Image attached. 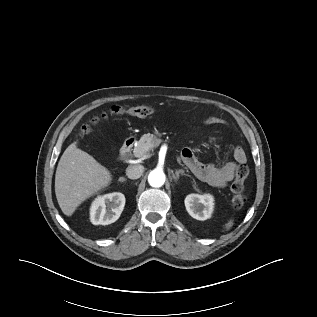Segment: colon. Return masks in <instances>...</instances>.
I'll return each instance as SVG.
<instances>
[{"label":"colon","instance_id":"colon-1","mask_svg":"<svg viewBox=\"0 0 317 317\" xmlns=\"http://www.w3.org/2000/svg\"><path fill=\"white\" fill-rule=\"evenodd\" d=\"M154 113V109L151 106L140 105L135 107L124 108L121 106H114L110 110L111 115L117 116H131L137 118H143ZM107 117V114H102L93 120V123H97L101 119ZM82 132L87 134L90 132V126L86 125L82 128ZM249 169L245 164L239 165L236 170V178L231 184L230 191L232 194L231 203L234 209H241L246 202V196L244 194V182L248 177Z\"/></svg>","mask_w":317,"mask_h":317}]
</instances>
